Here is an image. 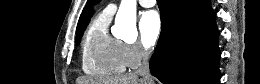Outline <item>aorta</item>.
I'll use <instances>...</instances> for the list:
<instances>
[{
	"label": "aorta",
	"instance_id": "aorta-1",
	"mask_svg": "<svg viewBox=\"0 0 260 84\" xmlns=\"http://www.w3.org/2000/svg\"><path fill=\"white\" fill-rule=\"evenodd\" d=\"M115 35L124 41L132 42L137 38L136 1L122 0L115 18Z\"/></svg>",
	"mask_w": 260,
	"mask_h": 84
}]
</instances>
